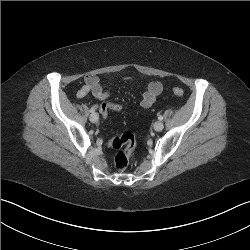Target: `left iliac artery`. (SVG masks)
I'll use <instances>...</instances> for the list:
<instances>
[{
	"label": "left iliac artery",
	"mask_w": 250,
	"mask_h": 250,
	"mask_svg": "<svg viewBox=\"0 0 250 250\" xmlns=\"http://www.w3.org/2000/svg\"><path fill=\"white\" fill-rule=\"evenodd\" d=\"M158 119H159V120H163V116L160 115V116L158 117Z\"/></svg>",
	"instance_id": "1"
}]
</instances>
